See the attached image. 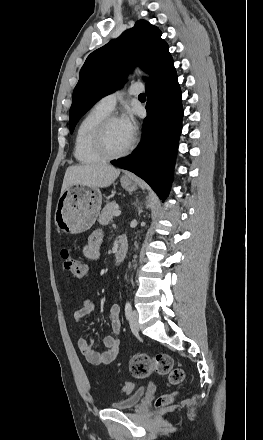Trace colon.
I'll return each instance as SVG.
<instances>
[{"instance_id":"colon-1","label":"colon","mask_w":263,"mask_h":440,"mask_svg":"<svg viewBox=\"0 0 263 440\" xmlns=\"http://www.w3.org/2000/svg\"><path fill=\"white\" fill-rule=\"evenodd\" d=\"M63 267L66 271L77 278H84L88 269L87 266L78 258L74 257L70 250L62 248L60 251ZM130 372L133 377L143 379L149 376L152 372L160 375H168L171 384H179L184 380V371L176 367L172 358L165 353H157L154 356L146 354H139L132 358L130 362ZM132 383L126 381L122 385V391L129 394L132 391ZM173 395L166 394L159 397L156 401L157 407H164L171 404Z\"/></svg>"}]
</instances>
